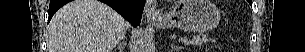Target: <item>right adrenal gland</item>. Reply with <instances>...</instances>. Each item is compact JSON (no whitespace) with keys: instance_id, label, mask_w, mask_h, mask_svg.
Segmentation results:
<instances>
[{"instance_id":"1","label":"right adrenal gland","mask_w":305,"mask_h":52,"mask_svg":"<svg viewBox=\"0 0 305 52\" xmlns=\"http://www.w3.org/2000/svg\"><path fill=\"white\" fill-rule=\"evenodd\" d=\"M125 49V43H119L115 48L114 51L118 50L119 52H123V50Z\"/></svg>"}]
</instances>
